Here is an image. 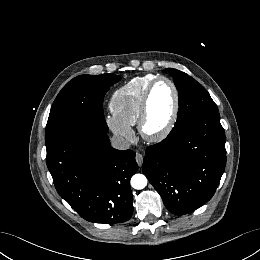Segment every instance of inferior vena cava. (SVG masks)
<instances>
[{
	"instance_id": "1",
	"label": "inferior vena cava",
	"mask_w": 260,
	"mask_h": 260,
	"mask_svg": "<svg viewBox=\"0 0 260 260\" xmlns=\"http://www.w3.org/2000/svg\"><path fill=\"white\" fill-rule=\"evenodd\" d=\"M111 145L113 148L118 150H126L130 148V142L124 138L113 136L111 138Z\"/></svg>"
}]
</instances>
